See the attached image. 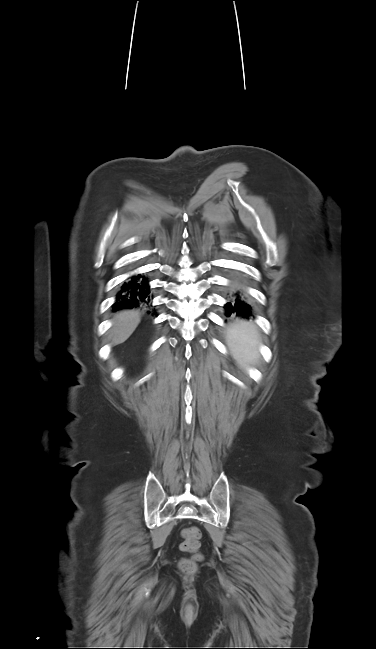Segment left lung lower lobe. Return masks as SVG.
Returning <instances> with one entry per match:
<instances>
[{"instance_id":"obj_1","label":"left lung lower lobe","mask_w":376,"mask_h":649,"mask_svg":"<svg viewBox=\"0 0 376 649\" xmlns=\"http://www.w3.org/2000/svg\"><path fill=\"white\" fill-rule=\"evenodd\" d=\"M226 316L229 317L232 313L239 316L248 318L252 315V307L242 300L237 299L235 303H226L225 305Z\"/></svg>"}]
</instances>
